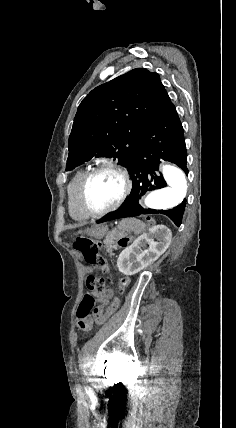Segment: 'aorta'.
I'll return each mask as SVG.
<instances>
[{
  "instance_id": "aorta-1",
  "label": "aorta",
  "mask_w": 236,
  "mask_h": 428,
  "mask_svg": "<svg viewBox=\"0 0 236 428\" xmlns=\"http://www.w3.org/2000/svg\"><path fill=\"white\" fill-rule=\"evenodd\" d=\"M162 173L167 186L150 192L144 199L145 205L151 209H172L179 205L186 196L187 181L184 172L180 168L163 165Z\"/></svg>"
}]
</instances>
